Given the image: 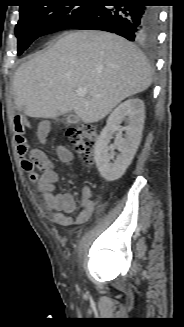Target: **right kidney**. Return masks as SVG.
<instances>
[{"instance_id":"right-kidney-1","label":"right kidney","mask_w":184,"mask_h":327,"mask_svg":"<svg viewBox=\"0 0 184 327\" xmlns=\"http://www.w3.org/2000/svg\"><path fill=\"white\" fill-rule=\"evenodd\" d=\"M144 119L145 107L139 98L124 101L108 117L107 124L96 141L94 151L97 169L107 181L120 178L131 164L142 139ZM123 121L127 123L124 135L120 129ZM113 134H116L115 149L120 152L115 160L114 153L108 146Z\"/></svg>"}]
</instances>
